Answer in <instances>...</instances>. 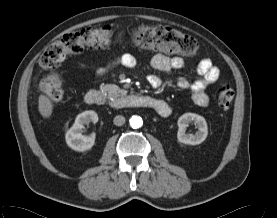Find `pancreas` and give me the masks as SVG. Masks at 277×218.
Returning <instances> with one entry per match:
<instances>
[{
    "instance_id": "1",
    "label": "pancreas",
    "mask_w": 277,
    "mask_h": 218,
    "mask_svg": "<svg viewBox=\"0 0 277 218\" xmlns=\"http://www.w3.org/2000/svg\"><path fill=\"white\" fill-rule=\"evenodd\" d=\"M101 89L108 94L110 98L117 99L121 96H125L127 94V91L124 89H120L115 84H105L102 85Z\"/></svg>"
}]
</instances>
